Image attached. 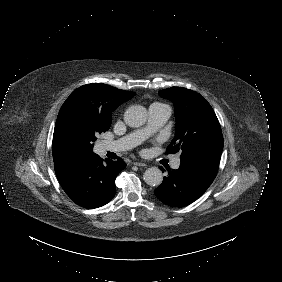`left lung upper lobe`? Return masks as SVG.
<instances>
[{"instance_id": "1", "label": "left lung upper lobe", "mask_w": 282, "mask_h": 282, "mask_svg": "<svg viewBox=\"0 0 282 282\" xmlns=\"http://www.w3.org/2000/svg\"><path fill=\"white\" fill-rule=\"evenodd\" d=\"M159 95L174 103L176 134L166 153L179 152L180 159L199 151L221 153L223 136L219 121L210 104L199 93L171 87Z\"/></svg>"}]
</instances>
